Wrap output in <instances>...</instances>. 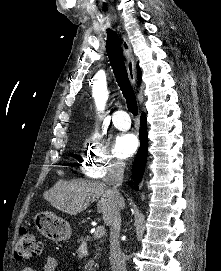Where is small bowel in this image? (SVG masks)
<instances>
[{"instance_id": "obj_1", "label": "small bowel", "mask_w": 221, "mask_h": 271, "mask_svg": "<svg viewBox=\"0 0 221 271\" xmlns=\"http://www.w3.org/2000/svg\"><path fill=\"white\" fill-rule=\"evenodd\" d=\"M58 262L56 258L52 255H48L42 265V271H55L57 268ZM22 271H34L31 267H25Z\"/></svg>"}]
</instances>
